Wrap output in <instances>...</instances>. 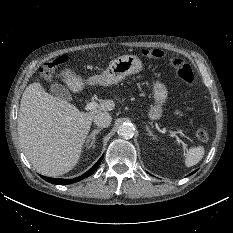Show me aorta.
<instances>
[{"mask_svg": "<svg viewBox=\"0 0 233 233\" xmlns=\"http://www.w3.org/2000/svg\"><path fill=\"white\" fill-rule=\"evenodd\" d=\"M134 126L130 123H124L118 127V135L124 139L132 138L134 135Z\"/></svg>", "mask_w": 233, "mask_h": 233, "instance_id": "1", "label": "aorta"}]
</instances>
